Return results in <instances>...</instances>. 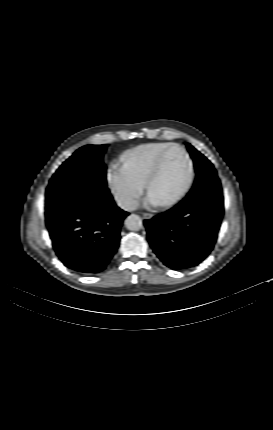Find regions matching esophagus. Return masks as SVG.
Wrapping results in <instances>:
<instances>
[{
    "instance_id": "1",
    "label": "esophagus",
    "mask_w": 273,
    "mask_h": 430,
    "mask_svg": "<svg viewBox=\"0 0 273 430\" xmlns=\"http://www.w3.org/2000/svg\"><path fill=\"white\" fill-rule=\"evenodd\" d=\"M153 217V214L151 213H143V218L145 219H151Z\"/></svg>"
}]
</instances>
